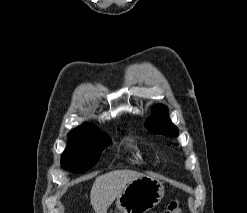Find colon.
I'll list each match as a JSON object with an SVG mask.
<instances>
[{
  "mask_svg": "<svg viewBox=\"0 0 247 213\" xmlns=\"http://www.w3.org/2000/svg\"><path fill=\"white\" fill-rule=\"evenodd\" d=\"M164 213H181L178 201H171Z\"/></svg>",
  "mask_w": 247,
  "mask_h": 213,
  "instance_id": "obj_1",
  "label": "colon"
}]
</instances>
